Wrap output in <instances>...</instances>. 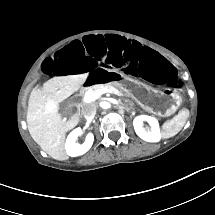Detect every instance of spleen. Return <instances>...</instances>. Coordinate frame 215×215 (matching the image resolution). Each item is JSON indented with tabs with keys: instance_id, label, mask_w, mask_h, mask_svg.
<instances>
[{
	"instance_id": "obj_1",
	"label": "spleen",
	"mask_w": 215,
	"mask_h": 215,
	"mask_svg": "<svg viewBox=\"0 0 215 215\" xmlns=\"http://www.w3.org/2000/svg\"><path fill=\"white\" fill-rule=\"evenodd\" d=\"M183 112L180 111L176 116L164 123L162 131L164 138H170L181 130L186 121V118L182 116Z\"/></svg>"
}]
</instances>
